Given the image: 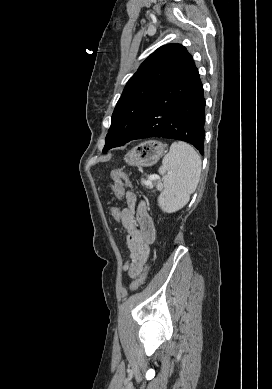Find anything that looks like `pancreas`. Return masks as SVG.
<instances>
[{
  "instance_id": "pancreas-1",
  "label": "pancreas",
  "mask_w": 272,
  "mask_h": 389,
  "mask_svg": "<svg viewBox=\"0 0 272 389\" xmlns=\"http://www.w3.org/2000/svg\"><path fill=\"white\" fill-rule=\"evenodd\" d=\"M143 184L146 185V181H143Z\"/></svg>"
}]
</instances>
